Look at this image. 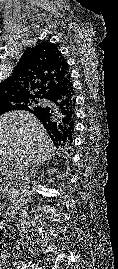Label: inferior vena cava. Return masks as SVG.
Returning <instances> with one entry per match:
<instances>
[{
	"label": "inferior vena cava",
	"instance_id": "inferior-vena-cava-1",
	"mask_svg": "<svg viewBox=\"0 0 118 269\" xmlns=\"http://www.w3.org/2000/svg\"><path fill=\"white\" fill-rule=\"evenodd\" d=\"M27 166H23L20 170V172L18 173V187H19V197H18V204L21 208V214H20V218H19V223L21 225V227H24L25 224V218H26V199H25V192L28 188V184H29V178L31 176V173H29ZM32 170V169H31Z\"/></svg>",
	"mask_w": 118,
	"mask_h": 269
}]
</instances>
